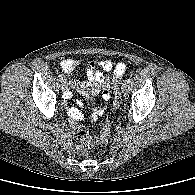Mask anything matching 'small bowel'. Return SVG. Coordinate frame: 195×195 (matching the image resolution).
Segmentation results:
<instances>
[{
    "label": "small bowel",
    "mask_w": 195,
    "mask_h": 195,
    "mask_svg": "<svg viewBox=\"0 0 195 195\" xmlns=\"http://www.w3.org/2000/svg\"><path fill=\"white\" fill-rule=\"evenodd\" d=\"M80 62L73 59L64 60L61 63L63 71L69 76L73 75L74 70L79 66ZM114 67V72L111 76L105 77L101 70L110 71ZM126 66L122 62H118L115 66L110 60H102L100 62L89 61L85 65V71L88 81L80 82L74 79L70 80V86L81 92L85 96H93L101 94L102 99L108 101L111 97L110 88L116 84L120 77L125 72ZM65 101L72 100V93L70 91L64 94ZM76 106L67 107V114L72 124L83 120L84 115L79 109L82 106L81 102H77ZM106 107L95 108L91 110L90 116L92 120L98 119L104 114Z\"/></svg>",
    "instance_id": "c3829d8e"
}]
</instances>
